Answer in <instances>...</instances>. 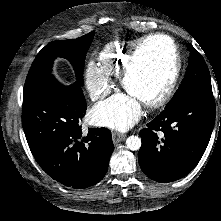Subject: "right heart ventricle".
<instances>
[{"instance_id":"1","label":"right heart ventricle","mask_w":221,"mask_h":221,"mask_svg":"<svg viewBox=\"0 0 221 221\" xmlns=\"http://www.w3.org/2000/svg\"><path fill=\"white\" fill-rule=\"evenodd\" d=\"M142 37H135L107 44L99 55V68L106 76L118 77L126 65L129 55Z\"/></svg>"}]
</instances>
